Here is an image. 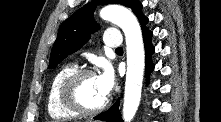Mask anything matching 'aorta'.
<instances>
[{
    "mask_svg": "<svg viewBox=\"0 0 221 122\" xmlns=\"http://www.w3.org/2000/svg\"><path fill=\"white\" fill-rule=\"evenodd\" d=\"M104 20L119 26L125 35L127 51V73L125 82L123 120L130 122L138 109L145 66L144 45L140 25L127 8L111 4L100 11Z\"/></svg>",
    "mask_w": 221,
    "mask_h": 122,
    "instance_id": "1",
    "label": "aorta"
}]
</instances>
